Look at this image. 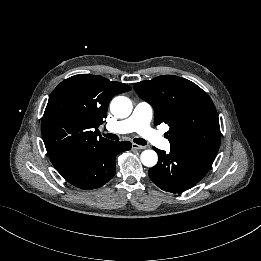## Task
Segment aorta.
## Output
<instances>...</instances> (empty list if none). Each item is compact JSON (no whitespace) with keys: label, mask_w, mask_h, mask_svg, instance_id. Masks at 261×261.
Returning <instances> with one entry per match:
<instances>
[{"label":"aorta","mask_w":261,"mask_h":261,"mask_svg":"<svg viewBox=\"0 0 261 261\" xmlns=\"http://www.w3.org/2000/svg\"><path fill=\"white\" fill-rule=\"evenodd\" d=\"M132 109L131 100L124 96L115 97L110 104V111L117 118L128 117ZM140 159L145 166L152 167L157 163L158 156L154 150H145L141 153Z\"/></svg>","instance_id":"762f6f07"}]
</instances>
